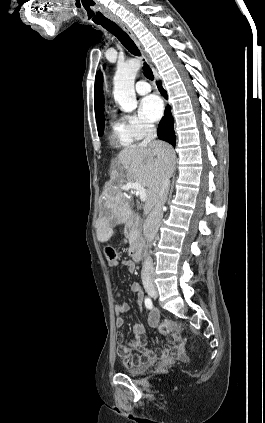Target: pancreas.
<instances>
[{"mask_svg":"<svg viewBox=\"0 0 265 423\" xmlns=\"http://www.w3.org/2000/svg\"><path fill=\"white\" fill-rule=\"evenodd\" d=\"M140 235V230L136 229L132 232V236H139Z\"/></svg>","mask_w":265,"mask_h":423,"instance_id":"cf45deb5","label":"pancreas"}]
</instances>
